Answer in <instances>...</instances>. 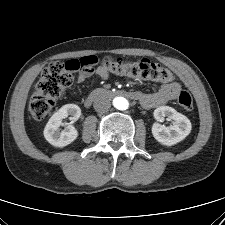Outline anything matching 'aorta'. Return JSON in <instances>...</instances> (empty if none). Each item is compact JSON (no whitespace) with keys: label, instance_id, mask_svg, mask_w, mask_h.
Segmentation results:
<instances>
[{"label":"aorta","instance_id":"1","mask_svg":"<svg viewBox=\"0 0 225 225\" xmlns=\"http://www.w3.org/2000/svg\"><path fill=\"white\" fill-rule=\"evenodd\" d=\"M113 105L115 108L118 110H126L129 107V102L126 98L124 97H116L113 100Z\"/></svg>","mask_w":225,"mask_h":225}]
</instances>
